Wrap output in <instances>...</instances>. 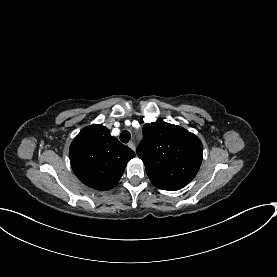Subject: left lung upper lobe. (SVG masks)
I'll return each mask as SVG.
<instances>
[{"instance_id":"1","label":"left lung upper lobe","mask_w":277,"mask_h":277,"mask_svg":"<svg viewBox=\"0 0 277 277\" xmlns=\"http://www.w3.org/2000/svg\"><path fill=\"white\" fill-rule=\"evenodd\" d=\"M137 155L144 162L151 183L162 190H179L197 174L202 143L188 130L158 119L143 126Z\"/></svg>"}]
</instances>
